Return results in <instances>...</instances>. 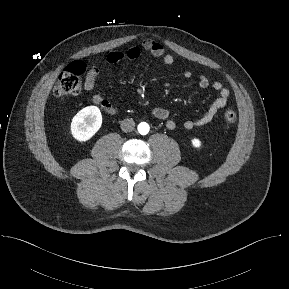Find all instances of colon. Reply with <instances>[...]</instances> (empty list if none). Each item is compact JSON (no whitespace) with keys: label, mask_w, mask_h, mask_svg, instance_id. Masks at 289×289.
<instances>
[{"label":"colon","mask_w":289,"mask_h":289,"mask_svg":"<svg viewBox=\"0 0 289 289\" xmlns=\"http://www.w3.org/2000/svg\"><path fill=\"white\" fill-rule=\"evenodd\" d=\"M86 64L77 61L67 66L60 74L54 87L56 96H74L82 90V79L86 72ZM237 120V115L232 109H227L223 114V121L226 127H230Z\"/></svg>","instance_id":"5ec220e1"}]
</instances>
